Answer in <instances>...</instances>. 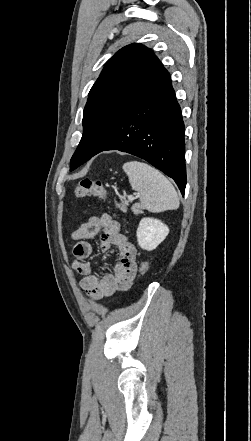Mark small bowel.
<instances>
[{"label":"small bowel","instance_id":"c3829d8e","mask_svg":"<svg viewBox=\"0 0 251 441\" xmlns=\"http://www.w3.org/2000/svg\"><path fill=\"white\" fill-rule=\"evenodd\" d=\"M102 231L100 247L103 251L115 248L118 259L112 273L99 275L87 259L93 253L89 240ZM76 241L73 247L75 260L72 263L77 273L82 275L81 288L92 298L102 299L130 287L137 271L136 248L121 231V226L110 214L92 216L71 233Z\"/></svg>","mask_w":251,"mask_h":441}]
</instances>
